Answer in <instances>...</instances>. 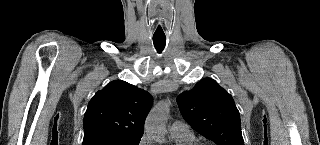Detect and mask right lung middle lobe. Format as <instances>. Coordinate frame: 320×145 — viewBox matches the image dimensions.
Masks as SVG:
<instances>
[{
  "instance_id": "1",
  "label": "right lung middle lobe",
  "mask_w": 320,
  "mask_h": 145,
  "mask_svg": "<svg viewBox=\"0 0 320 145\" xmlns=\"http://www.w3.org/2000/svg\"><path fill=\"white\" fill-rule=\"evenodd\" d=\"M140 139L141 136L132 138L102 137L83 142V145H138Z\"/></svg>"
}]
</instances>
